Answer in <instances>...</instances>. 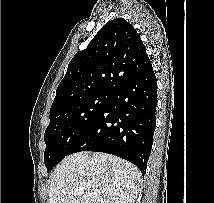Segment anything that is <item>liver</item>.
I'll return each mask as SVG.
<instances>
[{
    "instance_id": "liver-1",
    "label": "liver",
    "mask_w": 214,
    "mask_h": 203,
    "mask_svg": "<svg viewBox=\"0 0 214 203\" xmlns=\"http://www.w3.org/2000/svg\"><path fill=\"white\" fill-rule=\"evenodd\" d=\"M141 180L139 169L119 157L101 152H77L55 169L49 203H134ZM83 189V194H75Z\"/></svg>"
}]
</instances>
